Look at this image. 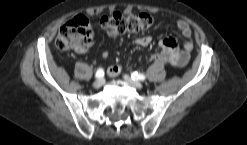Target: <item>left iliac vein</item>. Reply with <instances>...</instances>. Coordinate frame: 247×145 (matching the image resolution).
<instances>
[{"label":"left iliac vein","instance_id":"obj_1","mask_svg":"<svg viewBox=\"0 0 247 145\" xmlns=\"http://www.w3.org/2000/svg\"><path fill=\"white\" fill-rule=\"evenodd\" d=\"M124 80L137 89H142L143 84L139 81L133 80L129 75H123Z\"/></svg>","mask_w":247,"mask_h":145}]
</instances>
